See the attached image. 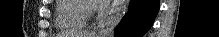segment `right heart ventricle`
Instances as JSON below:
<instances>
[{"instance_id":"right-heart-ventricle-1","label":"right heart ventricle","mask_w":219,"mask_h":37,"mask_svg":"<svg viewBox=\"0 0 219 37\" xmlns=\"http://www.w3.org/2000/svg\"><path fill=\"white\" fill-rule=\"evenodd\" d=\"M86 1L58 0L56 7L57 26L61 30L81 29L86 25Z\"/></svg>"}]
</instances>
